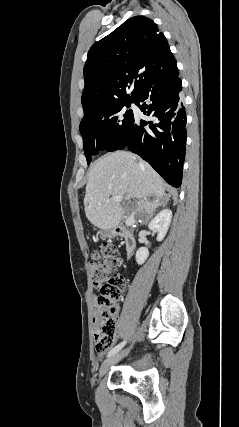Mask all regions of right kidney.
<instances>
[{"label":"right kidney","mask_w":239,"mask_h":427,"mask_svg":"<svg viewBox=\"0 0 239 427\" xmlns=\"http://www.w3.org/2000/svg\"><path fill=\"white\" fill-rule=\"evenodd\" d=\"M172 219V211L163 209L148 224L150 230L157 233V241H162L168 231ZM149 256L146 247H140L136 252V262L142 265Z\"/></svg>","instance_id":"1"}]
</instances>
